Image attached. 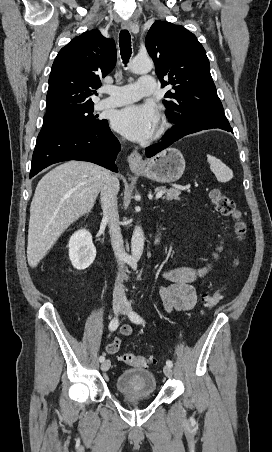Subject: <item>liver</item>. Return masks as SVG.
Listing matches in <instances>:
<instances>
[{
    "label": "liver",
    "instance_id": "obj_1",
    "mask_svg": "<svg viewBox=\"0 0 272 452\" xmlns=\"http://www.w3.org/2000/svg\"><path fill=\"white\" fill-rule=\"evenodd\" d=\"M110 175L97 164L72 160L42 177L30 206L27 259L31 267L73 222L92 210Z\"/></svg>",
    "mask_w": 272,
    "mask_h": 452
}]
</instances>
